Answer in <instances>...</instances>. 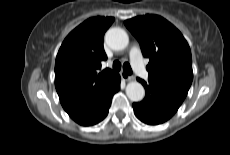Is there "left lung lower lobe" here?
<instances>
[{"label": "left lung lower lobe", "instance_id": "left-lung-lower-lobe-1", "mask_svg": "<svg viewBox=\"0 0 230 155\" xmlns=\"http://www.w3.org/2000/svg\"><path fill=\"white\" fill-rule=\"evenodd\" d=\"M145 88V98L133 103L136 117L149 125L161 124L169 120L179 109L182 100L166 92L154 83L137 78Z\"/></svg>", "mask_w": 230, "mask_h": 155}]
</instances>
